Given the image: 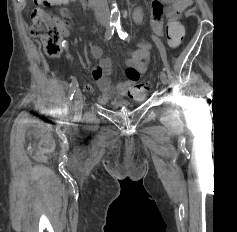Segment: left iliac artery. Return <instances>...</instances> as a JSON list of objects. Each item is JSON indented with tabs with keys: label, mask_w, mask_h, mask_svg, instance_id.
Wrapping results in <instances>:
<instances>
[{
	"label": "left iliac artery",
	"mask_w": 237,
	"mask_h": 232,
	"mask_svg": "<svg viewBox=\"0 0 237 232\" xmlns=\"http://www.w3.org/2000/svg\"><path fill=\"white\" fill-rule=\"evenodd\" d=\"M116 29H117L118 35L121 39H123V40L124 39H129L128 34L126 32H124V29H123V27L121 26L120 23H118L116 25ZM152 39H153V41L155 42V44L157 45V47L159 49L161 58H162L163 63H164V70H166L167 69V67H166L167 56H166L165 47H164L162 41L158 37L152 36Z\"/></svg>",
	"instance_id": "left-iliac-artery-1"
}]
</instances>
